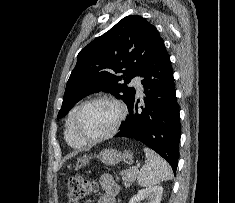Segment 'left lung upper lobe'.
Masks as SVG:
<instances>
[{
    "label": "left lung upper lobe",
    "mask_w": 235,
    "mask_h": 203,
    "mask_svg": "<svg viewBox=\"0 0 235 203\" xmlns=\"http://www.w3.org/2000/svg\"><path fill=\"white\" fill-rule=\"evenodd\" d=\"M160 39L155 26L141 16L130 15L89 43L77 56L57 118L65 116L85 96L99 91L115 95L128 106L135 89L127 84L141 74Z\"/></svg>",
    "instance_id": "obj_1"
}]
</instances>
